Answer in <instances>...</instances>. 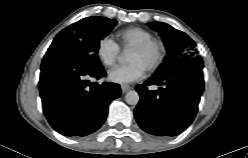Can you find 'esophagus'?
I'll return each mask as SVG.
<instances>
[{
	"instance_id": "34e87169",
	"label": "esophagus",
	"mask_w": 248,
	"mask_h": 158,
	"mask_svg": "<svg viewBox=\"0 0 248 158\" xmlns=\"http://www.w3.org/2000/svg\"><path fill=\"white\" fill-rule=\"evenodd\" d=\"M130 89L131 87L129 85H125V84L121 85V90L123 93L128 92Z\"/></svg>"
}]
</instances>
